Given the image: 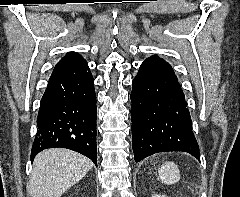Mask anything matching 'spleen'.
Returning <instances> with one entry per match:
<instances>
[{
	"label": "spleen",
	"instance_id": "spleen-1",
	"mask_svg": "<svg viewBox=\"0 0 240 197\" xmlns=\"http://www.w3.org/2000/svg\"><path fill=\"white\" fill-rule=\"evenodd\" d=\"M159 178L164 184L170 185L179 181L180 174L174 162H165L159 169Z\"/></svg>",
	"mask_w": 240,
	"mask_h": 197
}]
</instances>
